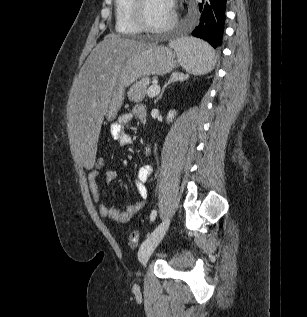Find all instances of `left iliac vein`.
Returning <instances> with one entry per match:
<instances>
[{
  "mask_svg": "<svg viewBox=\"0 0 307 317\" xmlns=\"http://www.w3.org/2000/svg\"><path fill=\"white\" fill-rule=\"evenodd\" d=\"M169 223L170 221L168 218L164 219L140 246L138 257L142 264L147 263L151 254L164 237L169 227Z\"/></svg>",
  "mask_w": 307,
  "mask_h": 317,
  "instance_id": "1",
  "label": "left iliac vein"
}]
</instances>
